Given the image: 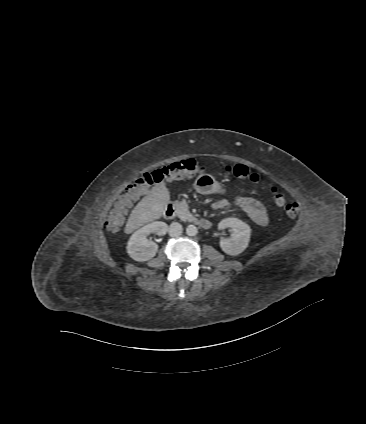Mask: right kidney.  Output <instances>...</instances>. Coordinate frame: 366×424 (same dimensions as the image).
<instances>
[{
  "label": "right kidney",
  "instance_id": "obj_1",
  "mask_svg": "<svg viewBox=\"0 0 366 424\" xmlns=\"http://www.w3.org/2000/svg\"><path fill=\"white\" fill-rule=\"evenodd\" d=\"M168 231V225L165 222L156 221L147 224L134 232L127 245L128 255L135 261L144 262L152 259L158 250L155 242L149 241L147 236L155 233L163 236Z\"/></svg>",
  "mask_w": 366,
  "mask_h": 424
}]
</instances>
